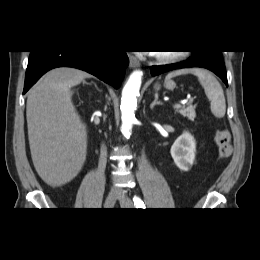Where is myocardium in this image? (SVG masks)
<instances>
[{
	"label": "myocardium",
	"instance_id": "obj_1",
	"mask_svg": "<svg viewBox=\"0 0 260 260\" xmlns=\"http://www.w3.org/2000/svg\"><path fill=\"white\" fill-rule=\"evenodd\" d=\"M178 55L173 53H159L156 55L157 61L161 63H170L178 59Z\"/></svg>",
	"mask_w": 260,
	"mask_h": 260
}]
</instances>
